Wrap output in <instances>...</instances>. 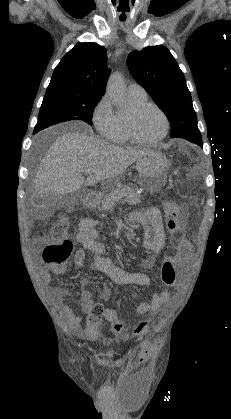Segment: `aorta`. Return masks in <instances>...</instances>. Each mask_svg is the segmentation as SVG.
<instances>
[{"mask_svg": "<svg viewBox=\"0 0 231 419\" xmlns=\"http://www.w3.org/2000/svg\"><path fill=\"white\" fill-rule=\"evenodd\" d=\"M107 93L118 105H122L125 99V86L123 78L119 74H113L107 83Z\"/></svg>", "mask_w": 231, "mask_h": 419, "instance_id": "aorta-1", "label": "aorta"}]
</instances>
